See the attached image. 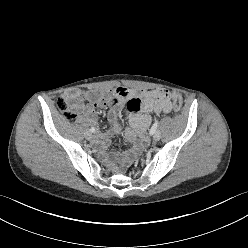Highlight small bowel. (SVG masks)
<instances>
[{
    "mask_svg": "<svg viewBox=\"0 0 248 248\" xmlns=\"http://www.w3.org/2000/svg\"><path fill=\"white\" fill-rule=\"evenodd\" d=\"M69 101L70 108L76 113L84 112L88 115H93V107H84L76 98V95L71 92L63 94ZM90 99L94 102L95 107L109 106L108 119L112 126L111 130L103 133L101 139L95 141L100 149H105L113 134H117L122 130L119 122L116 107L121 102H127L128 120L132 130L127 132L129 137L136 135L140 136L137 151L145 143V138L142 133L149 127L152 117L149 113L160 115L167 114L172 110V104L168 97L163 95V90L160 89H131L118 87L111 92H101L93 90L90 93ZM131 158L130 154L121 157L122 162H127Z\"/></svg>",
    "mask_w": 248,
    "mask_h": 248,
    "instance_id": "small-bowel-1",
    "label": "small bowel"
}]
</instances>
